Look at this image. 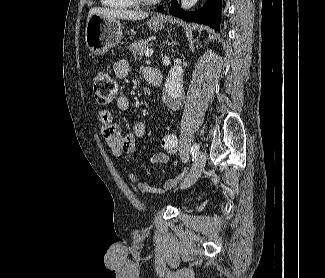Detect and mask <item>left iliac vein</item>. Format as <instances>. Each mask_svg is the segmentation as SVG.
Instances as JSON below:
<instances>
[{"label": "left iliac vein", "instance_id": "left-iliac-vein-1", "mask_svg": "<svg viewBox=\"0 0 325 278\" xmlns=\"http://www.w3.org/2000/svg\"><path fill=\"white\" fill-rule=\"evenodd\" d=\"M205 163H206V156L203 152L200 151L196 155L190 174L180 184L181 189L188 188L196 182V180L202 173Z\"/></svg>", "mask_w": 325, "mask_h": 278}]
</instances>
